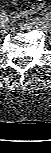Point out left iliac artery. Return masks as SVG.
Listing matches in <instances>:
<instances>
[{"mask_svg":"<svg viewBox=\"0 0 51 153\" xmlns=\"http://www.w3.org/2000/svg\"><path fill=\"white\" fill-rule=\"evenodd\" d=\"M43 20L46 22V25H47L48 27L51 26V22H50V20H51V14H50V13H48V14L43 18Z\"/></svg>","mask_w":51,"mask_h":153,"instance_id":"44dca946","label":"left iliac artery"}]
</instances>
